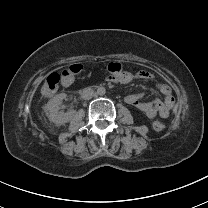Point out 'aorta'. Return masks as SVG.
I'll list each match as a JSON object with an SVG mask.
<instances>
[{"mask_svg":"<svg viewBox=\"0 0 208 208\" xmlns=\"http://www.w3.org/2000/svg\"><path fill=\"white\" fill-rule=\"evenodd\" d=\"M95 93H96L97 96L103 97V96L106 95L107 90H106L105 87L99 86V87L96 88Z\"/></svg>","mask_w":208,"mask_h":208,"instance_id":"obj_1","label":"aorta"}]
</instances>
